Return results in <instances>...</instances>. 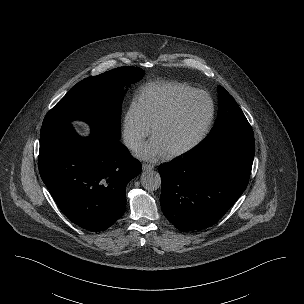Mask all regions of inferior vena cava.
<instances>
[{"label":"inferior vena cava","instance_id":"inferior-vena-cava-1","mask_svg":"<svg viewBox=\"0 0 304 304\" xmlns=\"http://www.w3.org/2000/svg\"><path fill=\"white\" fill-rule=\"evenodd\" d=\"M124 143L127 147L132 148L134 146H136L137 144V139L133 138V137H125L124 138Z\"/></svg>","mask_w":304,"mask_h":304}]
</instances>
